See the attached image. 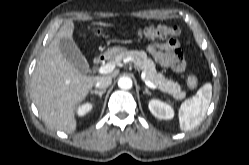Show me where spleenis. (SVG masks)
I'll return each mask as SVG.
<instances>
[{
  "label": "spleen",
  "instance_id": "obj_1",
  "mask_svg": "<svg viewBox=\"0 0 249 165\" xmlns=\"http://www.w3.org/2000/svg\"><path fill=\"white\" fill-rule=\"evenodd\" d=\"M212 97L211 83L204 84L192 98L184 101L179 109V126L189 131L198 126L204 118Z\"/></svg>",
  "mask_w": 249,
  "mask_h": 165
}]
</instances>
